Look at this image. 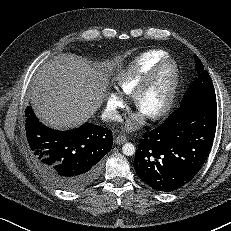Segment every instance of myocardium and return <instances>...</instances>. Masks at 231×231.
<instances>
[{
  "mask_svg": "<svg viewBox=\"0 0 231 231\" xmlns=\"http://www.w3.org/2000/svg\"><path fill=\"white\" fill-rule=\"evenodd\" d=\"M167 66L171 68V74L164 102L156 112L146 115L147 118L152 121H157L164 118L170 113L173 107L180 78L179 66L177 62L171 57H166L158 61L133 93L135 106L141 111V105L144 97L149 93L156 83L161 71Z\"/></svg>",
  "mask_w": 231,
  "mask_h": 231,
  "instance_id": "myocardium-1",
  "label": "myocardium"
}]
</instances>
